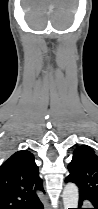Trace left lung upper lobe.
<instances>
[{"label":"left lung upper lobe","mask_w":98,"mask_h":209,"mask_svg":"<svg viewBox=\"0 0 98 209\" xmlns=\"http://www.w3.org/2000/svg\"><path fill=\"white\" fill-rule=\"evenodd\" d=\"M68 170L65 182L75 183L80 198L98 205V156L94 150L88 146L76 148Z\"/></svg>","instance_id":"obj_1"}]
</instances>
